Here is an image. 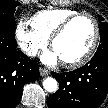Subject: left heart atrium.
Returning a JSON list of instances; mask_svg holds the SVG:
<instances>
[{"label": "left heart atrium", "instance_id": "obj_1", "mask_svg": "<svg viewBox=\"0 0 108 108\" xmlns=\"http://www.w3.org/2000/svg\"><path fill=\"white\" fill-rule=\"evenodd\" d=\"M42 60L44 63H46L48 65H54L60 61V58H59L58 54L54 50H52V51H48L42 57Z\"/></svg>", "mask_w": 108, "mask_h": 108}]
</instances>
